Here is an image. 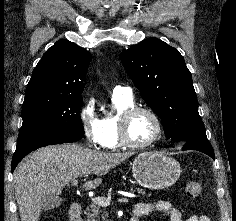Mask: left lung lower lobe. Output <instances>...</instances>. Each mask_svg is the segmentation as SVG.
<instances>
[{
  "instance_id": "obj_1",
  "label": "left lung lower lobe",
  "mask_w": 236,
  "mask_h": 221,
  "mask_svg": "<svg viewBox=\"0 0 236 221\" xmlns=\"http://www.w3.org/2000/svg\"><path fill=\"white\" fill-rule=\"evenodd\" d=\"M182 150H197L214 159V152L208 139H192L182 143Z\"/></svg>"
}]
</instances>
